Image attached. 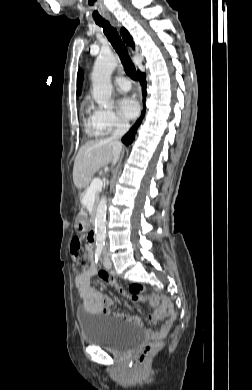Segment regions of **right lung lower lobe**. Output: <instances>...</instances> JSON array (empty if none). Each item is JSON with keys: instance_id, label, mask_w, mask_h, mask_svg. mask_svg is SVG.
<instances>
[{"instance_id": "right-lung-lower-lobe-1", "label": "right lung lower lobe", "mask_w": 252, "mask_h": 390, "mask_svg": "<svg viewBox=\"0 0 252 390\" xmlns=\"http://www.w3.org/2000/svg\"><path fill=\"white\" fill-rule=\"evenodd\" d=\"M138 80L143 88V93H142L143 94V110H142L140 118L136 121L135 125L133 127H131V129L122 138V142L125 143L126 145L131 144L132 141L134 140L137 129H138L139 125L141 124L142 119L145 115V98H146V94H147L145 74L138 72Z\"/></svg>"}]
</instances>
